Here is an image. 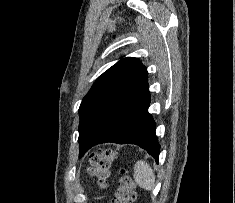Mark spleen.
Listing matches in <instances>:
<instances>
[{
	"label": "spleen",
	"instance_id": "3e777b00",
	"mask_svg": "<svg viewBox=\"0 0 235 203\" xmlns=\"http://www.w3.org/2000/svg\"><path fill=\"white\" fill-rule=\"evenodd\" d=\"M134 178L136 183L146 190H152L155 186V175L151 166L145 161H138L134 166Z\"/></svg>",
	"mask_w": 235,
	"mask_h": 203
}]
</instances>
